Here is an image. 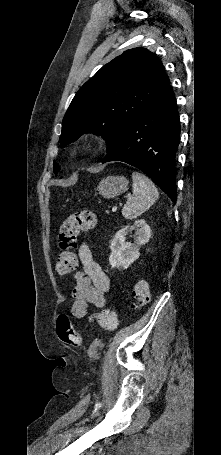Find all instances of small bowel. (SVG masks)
I'll return each instance as SVG.
<instances>
[{"label": "small bowel", "mask_w": 221, "mask_h": 455, "mask_svg": "<svg viewBox=\"0 0 221 455\" xmlns=\"http://www.w3.org/2000/svg\"><path fill=\"white\" fill-rule=\"evenodd\" d=\"M82 268L74 276L71 314L82 319L88 315L89 306L104 308L110 292V280L101 266L94 260L90 247L83 243L79 248Z\"/></svg>", "instance_id": "1"}]
</instances>
